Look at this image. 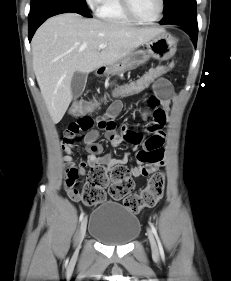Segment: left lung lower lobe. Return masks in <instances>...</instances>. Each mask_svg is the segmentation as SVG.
I'll list each match as a JSON object with an SVG mask.
<instances>
[{"label": "left lung lower lobe", "instance_id": "obj_1", "mask_svg": "<svg viewBox=\"0 0 231 281\" xmlns=\"http://www.w3.org/2000/svg\"><path fill=\"white\" fill-rule=\"evenodd\" d=\"M160 24H174L183 27L184 31L192 38L196 47L198 37L196 3H189L176 7L164 15Z\"/></svg>", "mask_w": 231, "mask_h": 281}]
</instances>
